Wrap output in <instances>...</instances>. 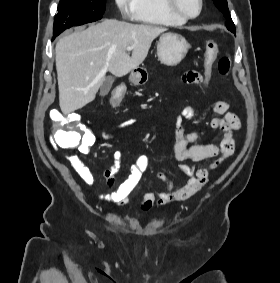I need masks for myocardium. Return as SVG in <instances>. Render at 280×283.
<instances>
[{"label": "myocardium", "mask_w": 280, "mask_h": 283, "mask_svg": "<svg viewBox=\"0 0 280 283\" xmlns=\"http://www.w3.org/2000/svg\"><path fill=\"white\" fill-rule=\"evenodd\" d=\"M168 9L175 14L176 16L184 19L191 20L197 18L203 11L204 0H199V9L198 12L194 15H190L183 11L177 4V0H166Z\"/></svg>", "instance_id": "obj_1"}]
</instances>
